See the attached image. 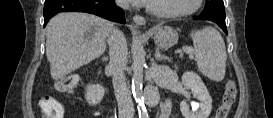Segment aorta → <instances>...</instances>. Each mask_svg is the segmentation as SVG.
Segmentation results:
<instances>
[{
    "mask_svg": "<svg viewBox=\"0 0 273 118\" xmlns=\"http://www.w3.org/2000/svg\"><path fill=\"white\" fill-rule=\"evenodd\" d=\"M133 58V77L132 92L137 102V108L140 114L146 113L144 98L142 95L143 69L146 64L144 46L138 38L133 40L132 44Z\"/></svg>",
    "mask_w": 273,
    "mask_h": 118,
    "instance_id": "aorta-1",
    "label": "aorta"
}]
</instances>
